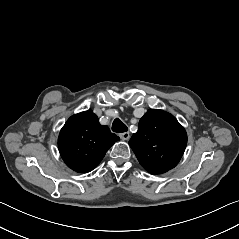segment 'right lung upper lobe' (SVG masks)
Wrapping results in <instances>:
<instances>
[{"label": "right lung upper lobe", "mask_w": 239, "mask_h": 239, "mask_svg": "<svg viewBox=\"0 0 239 239\" xmlns=\"http://www.w3.org/2000/svg\"><path fill=\"white\" fill-rule=\"evenodd\" d=\"M120 138L101 125L92 110L70 117L60 131L58 149L66 165L86 173L93 170Z\"/></svg>", "instance_id": "right-lung-upper-lobe-1"}]
</instances>
